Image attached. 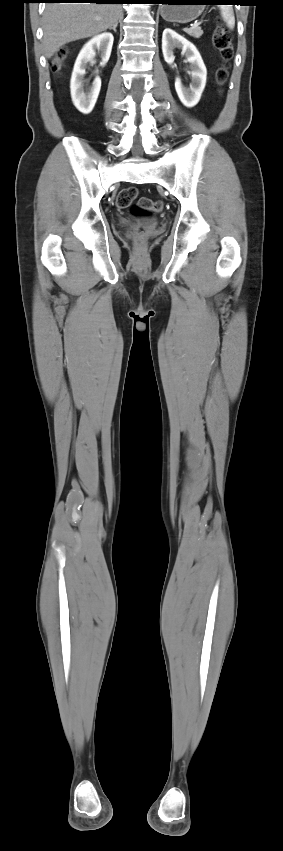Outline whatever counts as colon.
Wrapping results in <instances>:
<instances>
[{
	"label": "colon",
	"instance_id": "5ec220e1",
	"mask_svg": "<svg viewBox=\"0 0 283 851\" xmlns=\"http://www.w3.org/2000/svg\"><path fill=\"white\" fill-rule=\"evenodd\" d=\"M212 42L215 49L219 52L222 59V66L216 72V80L219 84H223L228 77L229 63L234 55L232 44V35L224 25L221 19L217 20L216 27L212 35ZM68 55V49L62 48L57 53L52 62V69L55 72L61 70L63 62ZM138 195L136 187H127L122 189L116 197V205L120 209L130 208L134 215L140 216L151 211H159L163 208V203L160 200H152L149 198H141L137 203H134ZM146 242V231L140 228L137 231L135 246L141 249Z\"/></svg>",
	"mask_w": 283,
	"mask_h": 851
}]
</instances>
